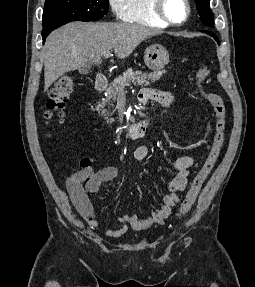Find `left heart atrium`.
<instances>
[{
  "mask_svg": "<svg viewBox=\"0 0 255 287\" xmlns=\"http://www.w3.org/2000/svg\"><path fill=\"white\" fill-rule=\"evenodd\" d=\"M115 33H139V32H115ZM113 39H139V38H113ZM117 48H135V47H117Z\"/></svg>",
  "mask_w": 255,
  "mask_h": 287,
  "instance_id": "left-heart-atrium-1",
  "label": "left heart atrium"
}]
</instances>
